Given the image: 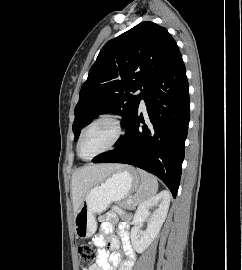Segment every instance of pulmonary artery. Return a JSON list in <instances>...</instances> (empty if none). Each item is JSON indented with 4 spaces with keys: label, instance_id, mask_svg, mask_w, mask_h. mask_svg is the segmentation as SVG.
Masks as SVG:
<instances>
[{
    "label": "pulmonary artery",
    "instance_id": "1",
    "mask_svg": "<svg viewBox=\"0 0 242 270\" xmlns=\"http://www.w3.org/2000/svg\"><path fill=\"white\" fill-rule=\"evenodd\" d=\"M145 101H144V99H142L141 101H140V108L142 109V110H145Z\"/></svg>",
    "mask_w": 242,
    "mask_h": 270
}]
</instances>
